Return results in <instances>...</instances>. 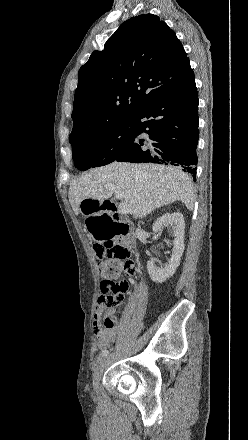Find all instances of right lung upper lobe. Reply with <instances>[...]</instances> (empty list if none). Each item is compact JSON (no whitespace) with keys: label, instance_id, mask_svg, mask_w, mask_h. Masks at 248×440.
<instances>
[{"label":"right lung upper lobe","instance_id":"obj_1","mask_svg":"<svg viewBox=\"0 0 248 440\" xmlns=\"http://www.w3.org/2000/svg\"><path fill=\"white\" fill-rule=\"evenodd\" d=\"M194 81L175 32L153 14L132 17L80 68L70 137L100 134Z\"/></svg>","mask_w":248,"mask_h":440}]
</instances>
